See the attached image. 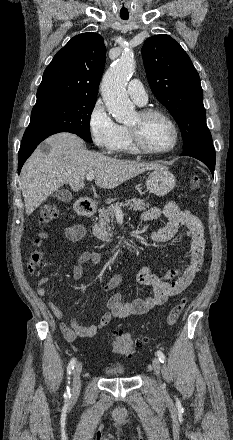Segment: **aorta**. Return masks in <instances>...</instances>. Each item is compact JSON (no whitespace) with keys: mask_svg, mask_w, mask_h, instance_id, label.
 <instances>
[{"mask_svg":"<svg viewBox=\"0 0 233 440\" xmlns=\"http://www.w3.org/2000/svg\"><path fill=\"white\" fill-rule=\"evenodd\" d=\"M135 69L132 53H124L107 70L101 83V93L109 113L119 123L130 121L135 115V106L130 102L126 84Z\"/></svg>","mask_w":233,"mask_h":440,"instance_id":"1","label":"aorta"}]
</instances>
